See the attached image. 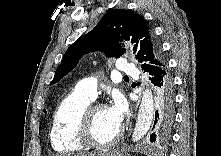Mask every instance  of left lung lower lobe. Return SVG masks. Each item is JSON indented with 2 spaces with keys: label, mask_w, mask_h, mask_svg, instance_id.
I'll return each instance as SVG.
<instances>
[{
  "label": "left lung lower lobe",
  "mask_w": 221,
  "mask_h": 156,
  "mask_svg": "<svg viewBox=\"0 0 221 156\" xmlns=\"http://www.w3.org/2000/svg\"><path fill=\"white\" fill-rule=\"evenodd\" d=\"M144 72L149 73V80L153 84L152 107L153 118L150 142H162L169 138L174 118L173 78L167 63L152 66Z\"/></svg>",
  "instance_id": "obj_1"
}]
</instances>
